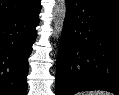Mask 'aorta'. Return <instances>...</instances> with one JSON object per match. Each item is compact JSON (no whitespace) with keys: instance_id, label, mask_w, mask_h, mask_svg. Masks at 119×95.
<instances>
[{"instance_id":"1","label":"aorta","mask_w":119,"mask_h":95,"mask_svg":"<svg viewBox=\"0 0 119 95\" xmlns=\"http://www.w3.org/2000/svg\"><path fill=\"white\" fill-rule=\"evenodd\" d=\"M65 17H66V2L65 0H57L54 7V21H53L54 36L57 39L59 38L62 32Z\"/></svg>"}]
</instances>
